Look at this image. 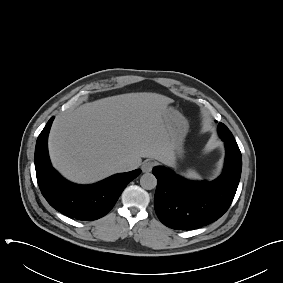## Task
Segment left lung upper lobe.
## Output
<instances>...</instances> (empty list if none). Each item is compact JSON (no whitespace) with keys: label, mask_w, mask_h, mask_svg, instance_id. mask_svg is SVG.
<instances>
[{"label":"left lung upper lobe","mask_w":283,"mask_h":283,"mask_svg":"<svg viewBox=\"0 0 283 283\" xmlns=\"http://www.w3.org/2000/svg\"><path fill=\"white\" fill-rule=\"evenodd\" d=\"M218 134H219V136L222 139H227V140L235 141L232 133L230 132V130L223 123H219L218 124Z\"/></svg>","instance_id":"5c2ea615"}]
</instances>
